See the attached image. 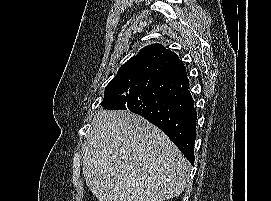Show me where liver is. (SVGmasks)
Instances as JSON below:
<instances>
[{"label":"liver","instance_id":"6515ba94","mask_svg":"<svg viewBox=\"0 0 271 201\" xmlns=\"http://www.w3.org/2000/svg\"><path fill=\"white\" fill-rule=\"evenodd\" d=\"M82 171L99 201H165L183 192L188 166L168 136L143 117L99 111Z\"/></svg>","mask_w":271,"mask_h":201}]
</instances>
